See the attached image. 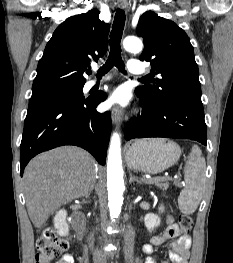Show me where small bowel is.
<instances>
[{
	"label": "small bowel",
	"mask_w": 233,
	"mask_h": 263,
	"mask_svg": "<svg viewBox=\"0 0 233 263\" xmlns=\"http://www.w3.org/2000/svg\"><path fill=\"white\" fill-rule=\"evenodd\" d=\"M166 220L168 226L165 231L161 235L151 237L149 241L143 245L142 251L148 255L144 263H158L153 256L155 247L170 240H173L170 244L169 251L170 262L188 263L189 251L192 244L191 237L174 223L172 216L167 215ZM56 263H74V258L71 254H65ZM161 263L169 262L163 261Z\"/></svg>",
	"instance_id": "1"
}]
</instances>
